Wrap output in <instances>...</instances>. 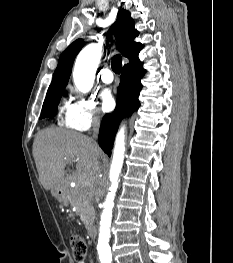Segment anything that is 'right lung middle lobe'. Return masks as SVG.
I'll list each match as a JSON object with an SVG mask.
<instances>
[{"instance_id":"1","label":"right lung middle lobe","mask_w":233,"mask_h":263,"mask_svg":"<svg viewBox=\"0 0 233 263\" xmlns=\"http://www.w3.org/2000/svg\"><path fill=\"white\" fill-rule=\"evenodd\" d=\"M64 89L65 88H60L47 93L40 118H51L55 116Z\"/></svg>"}]
</instances>
